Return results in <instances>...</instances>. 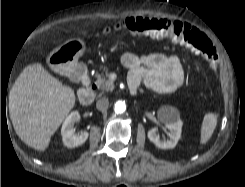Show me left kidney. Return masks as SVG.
Listing matches in <instances>:
<instances>
[{
    "label": "left kidney",
    "instance_id": "left-kidney-1",
    "mask_svg": "<svg viewBox=\"0 0 245 187\" xmlns=\"http://www.w3.org/2000/svg\"><path fill=\"white\" fill-rule=\"evenodd\" d=\"M158 118L169 130V139L166 140L165 138H160L156 128H152L148 131V138L158 148H174L181 137V130L183 125V122L180 119L179 111L172 106H162L158 110Z\"/></svg>",
    "mask_w": 245,
    "mask_h": 187
}]
</instances>
